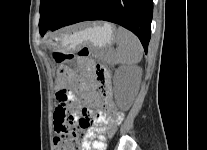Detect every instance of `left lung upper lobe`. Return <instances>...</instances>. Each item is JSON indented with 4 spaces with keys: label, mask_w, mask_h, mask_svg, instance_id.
I'll return each instance as SVG.
<instances>
[{
    "label": "left lung upper lobe",
    "mask_w": 207,
    "mask_h": 150,
    "mask_svg": "<svg viewBox=\"0 0 207 150\" xmlns=\"http://www.w3.org/2000/svg\"><path fill=\"white\" fill-rule=\"evenodd\" d=\"M76 0H41L39 30L43 35L50 30Z\"/></svg>",
    "instance_id": "obj_1"
}]
</instances>
